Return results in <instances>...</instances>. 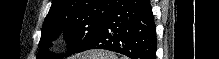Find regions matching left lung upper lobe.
I'll return each instance as SVG.
<instances>
[{
  "instance_id": "left-lung-upper-lobe-1",
  "label": "left lung upper lobe",
  "mask_w": 219,
  "mask_h": 59,
  "mask_svg": "<svg viewBox=\"0 0 219 59\" xmlns=\"http://www.w3.org/2000/svg\"><path fill=\"white\" fill-rule=\"evenodd\" d=\"M113 0H52L39 42L37 59H61L48 52L51 42L64 34L69 52L76 53L97 33L105 20Z\"/></svg>"
}]
</instances>
